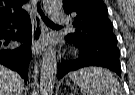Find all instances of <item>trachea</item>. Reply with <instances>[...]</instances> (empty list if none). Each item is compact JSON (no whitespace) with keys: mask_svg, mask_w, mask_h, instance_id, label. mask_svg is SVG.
Wrapping results in <instances>:
<instances>
[{"mask_svg":"<svg viewBox=\"0 0 135 95\" xmlns=\"http://www.w3.org/2000/svg\"><path fill=\"white\" fill-rule=\"evenodd\" d=\"M37 11L39 12L41 18L43 19V21L47 25L58 26L57 24H55L54 22H52L48 17L45 16V14L43 13V11L41 10L40 3L39 2L37 3Z\"/></svg>","mask_w":135,"mask_h":95,"instance_id":"1","label":"trachea"}]
</instances>
